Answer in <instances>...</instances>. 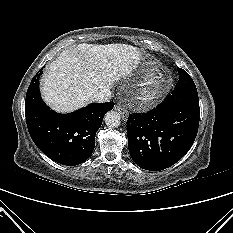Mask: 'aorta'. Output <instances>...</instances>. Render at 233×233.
Listing matches in <instances>:
<instances>
[{
	"instance_id": "aorta-1",
	"label": "aorta",
	"mask_w": 233,
	"mask_h": 233,
	"mask_svg": "<svg viewBox=\"0 0 233 233\" xmlns=\"http://www.w3.org/2000/svg\"><path fill=\"white\" fill-rule=\"evenodd\" d=\"M105 123L110 128L118 127L121 123L120 114L116 111H109L105 115Z\"/></svg>"
}]
</instances>
